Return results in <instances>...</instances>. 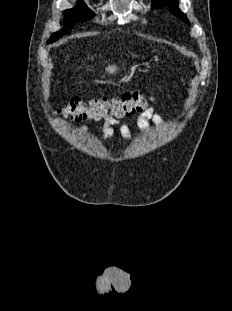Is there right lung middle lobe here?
<instances>
[{
    "instance_id": "obj_1",
    "label": "right lung middle lobe",
    "mask_w": 232,
    "mask_h": 311,
    "mask_svg": "<svg viewBox=\"0 0 232 311\" xmlns=\"http://www.w3.org/2000/svg\"><path fill=\"white\" fill-rule=\"evenodd\" d=\"M64 28L56 33H54L47 43H52L58 40L60 37L68 33L74 26L76 21H85L94 16V13L90 11L85 3L78 2L77 7L64 11Z\"/></svg>"
}]
</instances>
